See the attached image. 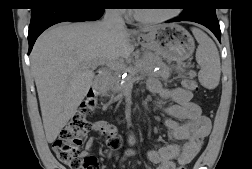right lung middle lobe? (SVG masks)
Listing matches in <instances>:
<instances>
[{
	"label": "right lung middle lobe",
	"instance_id": "obj_1",
	"mask_svg": "<svg viewBox=\"0 0 252 169\" xmlns=\"http://www.w3.org/2000/svg\"><path fill=\"white\" fill-rule=\"evenodd\" d=\"M85 2L92 3V4H99L103 5L105 4L107 0H84ZM44 0H37V3H43Z\"/></svg>",
	"mask_w": 252,
	"mask_h": 169
}]
</instances>
